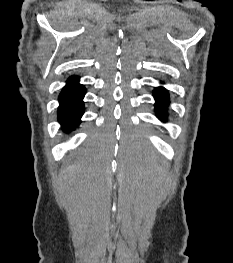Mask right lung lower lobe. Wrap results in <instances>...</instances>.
<instances>
[{
	"mask_svg": "<svg viewBox=\"0 0 233 263\" xmlns=\"http://www.w3.org/2000/svg\"><path fill=\"white\" fill-rule=\"evenodd\" d=\"M85 88L79 84V77L71 76L59 95L58 121L64 132H70L80 123L84 113Z\"/></svg>",
	"mask_w": 233,
	"mask_h": 263,
	"instance_id": "1",
	"label": "right lung lower lobe"
}]
</instances>
